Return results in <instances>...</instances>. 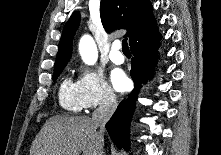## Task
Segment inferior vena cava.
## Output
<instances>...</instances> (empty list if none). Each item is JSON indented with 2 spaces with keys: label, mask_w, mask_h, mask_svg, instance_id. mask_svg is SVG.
<instances>
[{
  "label": "inferior vena cava",
  "mask_w": 221,
  "mask_h": 155,
  "mask_svg": "<svg viewBox=\"0 0 221 155\" xmlns=\"http://www.w3.org/2000/svg\"><path fill=\"white\" fill-rule=\"evenodd\" d=\"M117 107L115 94L107 90L100 106L93 112L92 120L99 127L98 139L100 141L98 155H103V133L105 124L108 122Z\"/></svg>",
  "instance_id": "602c4592"
}]
</instances>
